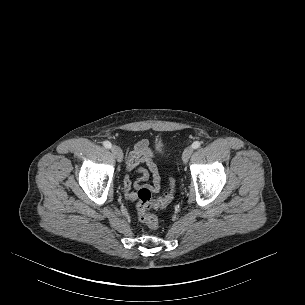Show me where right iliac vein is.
Listing matches in <instances>:
<instances>
[{
    "instance_id": "63e3f726",
    "label": "right iliac vein",
    "mask_w": 305,
    "mask_h": 305,
    "mask_svg": "<svg viewBox=\"0 0 305 305\" xmlns=\"http://www.w3.org/2000/svg\"><path fill=\"white\" fill-rule=\"evenodd\" d=\"M111 151H112L113 155L115 156V158L117 159V161L121 162L123 159L122 150L118 146L114 145L111 147Z\"/></svg>"
}]
</instances>
